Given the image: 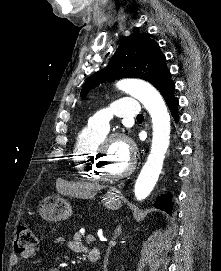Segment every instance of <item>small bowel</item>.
I'll return each instance as SVG.
<instances>
[{"label": "small bowel", "instance_id": "small-bowel-1", "mask_svg": "<svg viewBox=\"0 0 221 271\" xmlns=\"http://www.w3.org/2000/svg\"><path fill=\"white\" fill-rule=\"evenodd\" d=\"M55 244L57 246L66 245L69 250L75 253H88V257H91V254L94 251V249L88 251L87 247L78 239L67 242L66 239L62 236H59L55 239ZM37 251L38 249L36 247H29L22 251L20 254H13L10 258V262L13 266H15L18 264L20 257H23L25 259L31 258L37 253Z\"/></svg>", "mask_w": 221, "mask_h": 271}]
</instances>
